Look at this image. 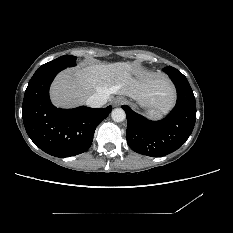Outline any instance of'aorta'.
I'll return each mask as SVG.
<instances>
[{"label": "aorta", "instance_id": "obj_1", "mask_svg": "<svg viewBox=\"0 0 233 233\" xmlns=\"http://www.w3.org/2000/svg\"><path fill=\"white\" fill-rule=\"evenodd\" d=\"M111 117L115 122H122L125 120L126 114L122 108H115L111 113Z\"/></svg>", "mask_w": 233, "mask_h": 233}]
</instances>
